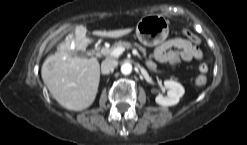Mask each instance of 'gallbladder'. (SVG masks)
Segmentation results:
<instances>
[{
    "label": "gallbladder",
    "mask_w": 247,
    "mask_h": 145,
    "mask_svg": "<svg viewBox=\"0 0 247 145\" xmlns=\"http://www.w3.org/2000/svg\"><path fill=\"white\" fill-rule=\"evenodd\" d=\"M75 55H77L78 57H86L88 56V53L85 51H77L75 52Z\"/></svg>",
    "instance_id": "obj_1"
}]
</instances>
